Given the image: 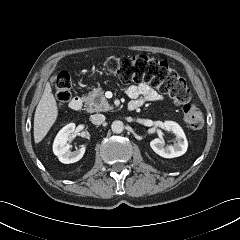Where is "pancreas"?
I'll list each match as a JSON object with an SVG mask.
<instances>
[{"mask_svg": "<svg viewBox=\"0 0 240 240\" xmlns=\"http://www.w3.org/2000/svg\"><path fill=\"white\" fill-rule=\"evenodd\" d=\"M85 102L86 111L93 112H106L112 109L107 99L104 97V91L101 87L94 88L87 96L82 97Z\"/></svg>", "mask_w": 240, "mask_h": 240, "instance_id": "pancreas-1", "label": "pancreas"}]
</instances>
